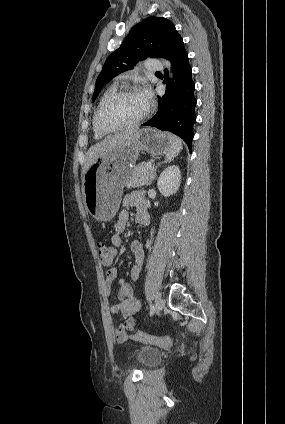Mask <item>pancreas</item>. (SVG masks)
<instances>
[{
	"label": "pancreas",
	"mask_w": 285,
	"mask_h": 424,
	"mask_svg": "<svg viewBox=\"0 0 285 424\" xmlns=\"http://www.w3.org/2000/svg\"><path fill=\"white\" fill-rule=\"evenodd\" d=\"M147 163H140L132 169V174L126 183L127 188H137L150 185L154 179V167L147 168Z\"/></svg>",
	"instance_id": "1"
}]
</instances>
